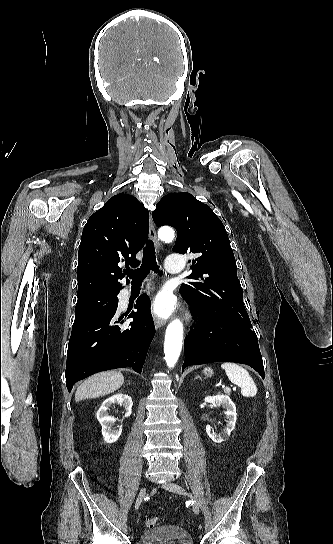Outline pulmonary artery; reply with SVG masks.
Here are the masks:
<instances>
[{
    "label": "pulmonary artery",
    "mask_w": 333,
    "mask_h": 544,
    "mask_svg": "<svg viewBox=\"0 0 333 544\" xmlns=\"http://www.w3.org/2000/svg\"><path fill=\"white\" fill-rule=\"evenodd\" d=\"M183 258L179 255H170L166 260V269L171 274H177L183 271Z\"/></svg>",
    "instance_id": "e3ab8cb5"
}]
</instances>
